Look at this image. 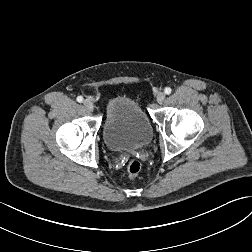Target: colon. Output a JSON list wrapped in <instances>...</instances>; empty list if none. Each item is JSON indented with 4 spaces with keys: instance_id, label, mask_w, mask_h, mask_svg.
Wrapping results in <instances>:
<instances>
[{
    "instance_id": "obj_1",
    "label": "colon",
    "mask_w": 252,
    "mask_h": 252,
    "mask_svg": "<svg viewBox=\"0 0 252 252\" xmlns=\"http://www.w3.org/2000/svg\"><path fill=\"white\" fill-rule=\"evenodd\" d=\"M141 168V162L136 159H132L127 164V174L129 175V177H135L140 173Z\"/></svg>"
}]
</instances>
